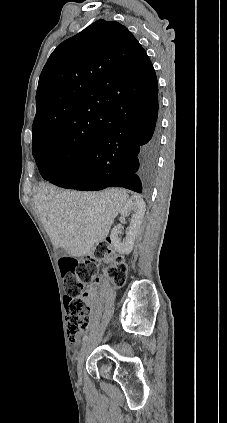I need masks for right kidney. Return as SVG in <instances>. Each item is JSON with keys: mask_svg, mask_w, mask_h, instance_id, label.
<instances>
[{"mask_svg": "<svg viewBox=\"0 0 227 423\" xmlns=\"http://www.w3.org/2000/svg\"><path fill=\"white\" fill-rule=\"evenodd\" d=\"M145 208V202L142 200L141 196H132V198L128 200L127 204H125L124 208H122L121 215H129L130 211H134V213H132L125 241H121L119 237V233H121L120 227H113V229H111V245H113L114 249H116L118 253H121V255L131 253L135 237L142 223Z\"/></svg>", "mask_w": 227, "mask_h": 423, "instance_id": "1", "label": "right kidney"}]
</instances>
